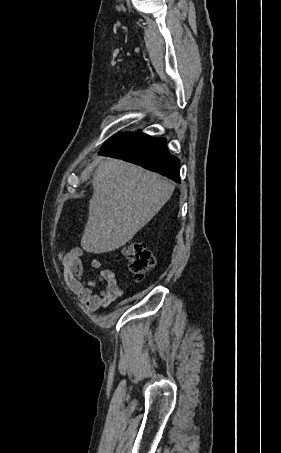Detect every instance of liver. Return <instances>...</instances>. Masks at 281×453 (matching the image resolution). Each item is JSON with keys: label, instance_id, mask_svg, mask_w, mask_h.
Returning <instances> with one entry per match:
<instances>
[{"label": "liver", "instance_id": "1", "mask_svg": "<svg viewBox=\"0 0 281 453\" xmlns=\"http://www.w3.org/2000/svg\"><path fill=\"white\" fill-rule=\"evenodd\" d=\"M93 194L81 247L87 253L116 251L157 214L174 184L157 172L117 158L95 160Z\"/></svg>", "mask_w": 281, "mask_h": 453}]
</instances>
